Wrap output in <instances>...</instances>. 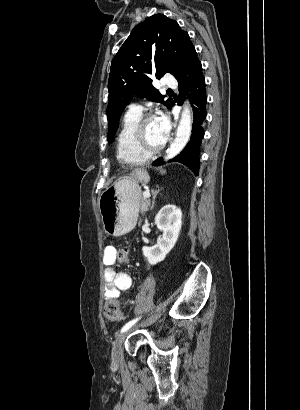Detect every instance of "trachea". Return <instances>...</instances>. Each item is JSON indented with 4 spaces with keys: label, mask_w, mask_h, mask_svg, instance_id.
<instances>
[{
    "label": "trachea",
    "mask_w": 300,
    "mask_h": 410,
    "mask_svg": "<svg viewBox=\"0 0 300 410\" xmlns=\"http://www.w3.org/2000/svg\"><path fill=\"white\" fill-rule=\"evenodd\" d=\"M167 92H172V90H171V89H168Z\"/></svg>",
    "instance_id": "trachea-1"
}]
</instances>
